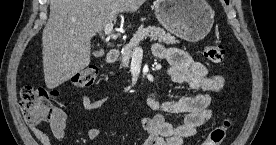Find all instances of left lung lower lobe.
<instances>
[{"mask_svg":"<svg viewBox=\"0 0 276 145\" xmlns=\"http://www.w3.org/2000/svg\"><path fill=\"white\" fill-rule=\"evenodd\" d=\"M225 1H226V3L228 4L229 0H225Z\"/></svg>","mask_w":276,"mask_h":145,"instance_id":"1","label":"left lung lower lobe"}]
</instances>
